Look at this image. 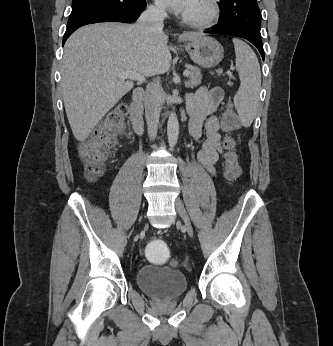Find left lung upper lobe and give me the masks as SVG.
<instances>
[{"instance_id":"1","label":"left lung upper lobe","mask_w":333,"mask_h":346,"mask_svg":"<svg viewBox=\"0 0 333 346\" xmlns=\"http://www.w3.org/2000/svg\"><path fill=\"white\" fill-rule=\"evenodd\" d=\"M221 24H236L260 34L261 12L256 0H220Z\"/></svg>"}]
</instances>
